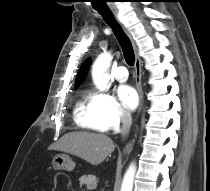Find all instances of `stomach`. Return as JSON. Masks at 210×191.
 I'll return each mask as SVG.
<instances>
[{
    "mask_svg": "<svg viewBox=\"0 0 210 191\" xmlns=\"http://www.w3.org/2000/svg\"><path fill=\"white\" fill-rule=\"evenodd\" d=\"M52 166L54 170L72 171L75 167V163L68 155L58 154L53 158Z\"/></svg>",
    "mask_w": 210,
    "mask_h": 191,
    "instance_id": "obj_1",
    "label": "stomach"
}]
</instances>
